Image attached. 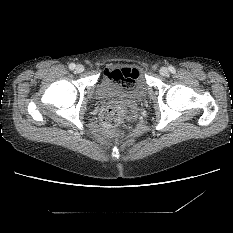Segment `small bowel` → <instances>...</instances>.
<instances>
[{"mask_svg":"<svg viewBox=\"0 0 233 233\" xmlns=\"http://www.w3.org/2000/svg\"><path fill=\"white\" fill-rule=\"evenodd\" d=\"M114 72H115V70L110 71V73H114Z\"/></svg>","mask_w":233,"mask_h":233,"instance_id":"c3829d8e","label":"small bowel"}]
</instances>
